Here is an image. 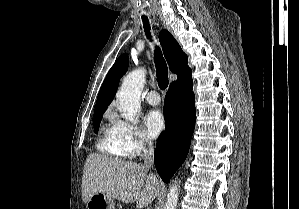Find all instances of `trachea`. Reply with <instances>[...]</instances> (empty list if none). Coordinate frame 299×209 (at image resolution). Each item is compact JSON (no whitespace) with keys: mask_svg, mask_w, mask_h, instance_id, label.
<instances>
[{"mask_svg":"<svg viewBox=\"0 0 299 209\" xmlns=\"http://www.w3.org/2000/svg\"><path fill=\"white\" fill-rule=\"evenodd\" d=\"M144 22V28L146 35L150 38V27L148 24V18L142 17ZM154 62L157 71V81L160 89L165 90L168 86V67L159 48H156L154 54Z\"/></svg>","mask_w":299,"mask_h":209,"instance_id":"trachea-1","label":"trachea"}]
</instances>
